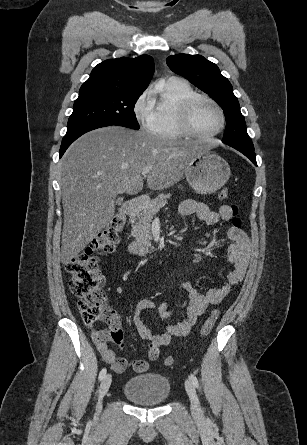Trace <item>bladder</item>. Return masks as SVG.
<instances>
[{
	"mask_svg": "<svg viewBox=\"0 0 307 445\" xmlns=\"http://www.w3.org/2000/svg\"><path fill=\"white\" fill-rule=\"evenodd\" d=\"M171 392L169 380L158 373H142L129 378L123 393L127 399L144 407H157L164 404Z\"/></svg>",
	"mask_w": 307,
	"mask_h": 445,
	"instance_id": "1",
	"label": "bladder"
}]
</instances>
